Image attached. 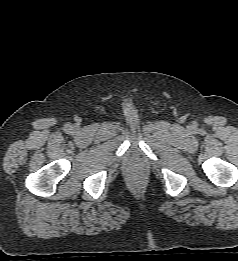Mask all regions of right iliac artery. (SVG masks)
Segmentation results:
<instances>
[{"instance_id":"1","label":"right iliac artery","mask_w":238,"mask_h":261,"mask_svg":"<svg viewBox=\"0 0 238 261\" xmlns=\"http://www.w3.org/2000/svg\"><path fill=\"white\" fill-rule=\"evenodd\" d=\"M69 127H70V125L67 124V125H66V128L68 129Z\"/></svg>"}]
</instances>
